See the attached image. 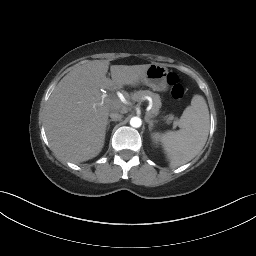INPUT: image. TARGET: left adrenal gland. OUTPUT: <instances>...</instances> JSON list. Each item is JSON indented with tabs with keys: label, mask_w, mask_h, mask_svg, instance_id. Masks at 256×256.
Listing matches in <instances>:
<instances>
[{
	"label": "left adrenal gland",
	"mask_w": 256,
	"mask_h": 256,
	"mask_svg": "<svg viewBox=\"0 0 256 256\" xmlns=\"http://www.w3.org/2000/svg\"><path fill=\"white\" fill-rule=\"evenodd\" d=\"M145 121L148 123V127H149V131H152V128L154 126V124L157 122V121H154L152 119L149 118V116H145Z\"/></svg>",
	"instance_id": "obj_1"
}]
</instances>
